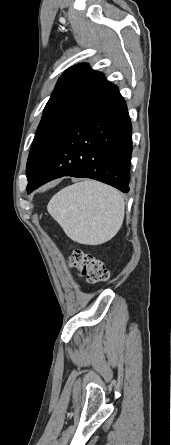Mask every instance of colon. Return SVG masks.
<instances>
[{
    "label": "colon",
    "mask_w": 171,
    "mask_h": 445,
    "mask_svg": "<svg viewBox=\"0 0 171 445\" xmlns=\"http://www.w3.org/2000/svg\"><path fill=\"white\" fill-rule=\"evenodd\" d=\"M67 262L70 267L79 270L91 285L105 282L109 278L108 269L102 260L83 249H73Z\"/></svg>",
    "instance_id": "colon-1"
}]
</instances>
